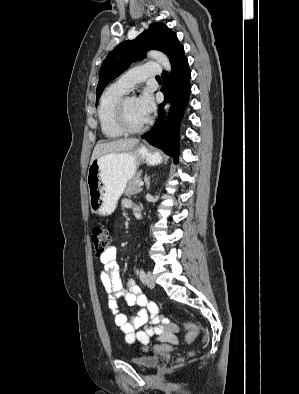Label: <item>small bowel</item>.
<instances>
[{"label": "small bowel", "instance_id": "1", "mask_svg": "<svg viewBox=\"0 0 299 394\" xmlns=\"http://www.w3.org/2000/svg\"><path fill=\"white\" fill-rule=\"evenodd\" d=\"M122 203L124 207L138 211L131 200L124 199ZM115 257L116 246L111 245L100 258V279L106 292L110 294L108 306L115 315V325L120 328L126 343L139 342L146 345L151 337L156 336L161 343L177 344L178 326L161 314L156 302L142 292L134 279L122 283ZM117 297L123 298L130 308L138 307L137 312L130 316L119 312Z\"/></svg>", "mask_w": 299, "mask_h": 394}]
</instances>
